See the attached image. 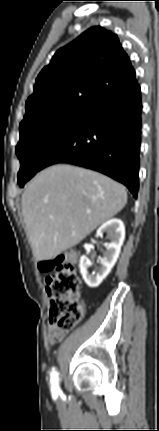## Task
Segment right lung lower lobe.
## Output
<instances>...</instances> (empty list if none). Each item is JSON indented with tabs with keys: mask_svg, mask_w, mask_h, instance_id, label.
<instances>
[{
	"mask_svg": "<svg viewBox=\"0 0 159 431\" xmlns=\"http://www.w3.org/2000/svg\"><path fill=\"white\" fill-rule=\"evenodd\" d=\"M142 101L140 86L103 105L60 138L41 170L56 163L92 169L124 184L136 198L139 188Z\"/></svg>",
	"mask_w": 159,
	"mask_h": 431,
	"instance_id": "obj_1",
	"label": "right lung lower lobe"
}]
</instances>
